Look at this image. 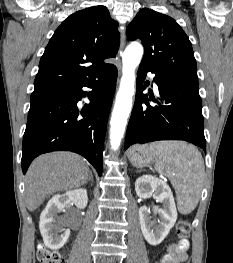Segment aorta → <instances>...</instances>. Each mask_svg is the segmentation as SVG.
Masks as SVG:
<instances>
[{"mask_svg":"<svg viewBox=\"0 0 233 263\" xmlns=\"http://www.w3.org/2000/svg\"><path fill=\"white\" fill-rule=\"evenodd\" d=\"M142 55L143 47L137 42H132L125 49L122 56V78L110 121V142L114 150L119 148L125 132L127 119L132 107L135 69L140 64Z\"/></svg>","mask_w":233,"mask_h":263,"instance_id":"762f6f07","label":"aorta"}]
</instances>
